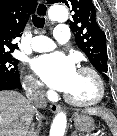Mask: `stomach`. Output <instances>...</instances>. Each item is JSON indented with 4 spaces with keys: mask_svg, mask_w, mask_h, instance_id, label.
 Segmentation results:
<instances>
[{
    "mask_svg": "<svg viewBox=\"0 0 117 136\" xmlns=\"http://www.w3.org/2000/svg\"><path fill=\"white\" fill-rule=\"evenodd\" d=\"M74 125L75 127L85 133H88L94 130V121L88 115H76L74 117Z\"/></svg>",
    "mask_w": 117,
    "mask_h": 136,
    "instance_id": "obj_1",
    "label": "stomach"
}]
</instances>
